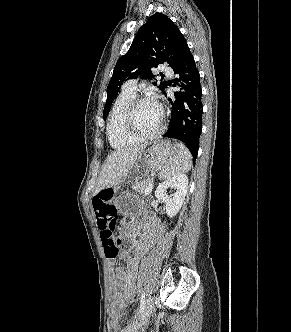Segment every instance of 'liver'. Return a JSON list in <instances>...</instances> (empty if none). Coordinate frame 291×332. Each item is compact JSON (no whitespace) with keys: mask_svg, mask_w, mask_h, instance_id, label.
Returning <instances> with one entry per match:
<instances>
[{"mask_svg":"<svg viewBox=\"0 0 291 332\" xmlns=\"http://www.w3.org/2000/svg\"><path fill=\"white\" fill-rule=\"evenodd\" d=\"M145 146H135L120 149L108 155L102 171L99 174L97 187L94 194L100 191L116 186L134 166Z\"/></svg>","mask_w":291,"mask_h":332,"instance_id":"6515ba94","label":"liver"}]
</instances>
